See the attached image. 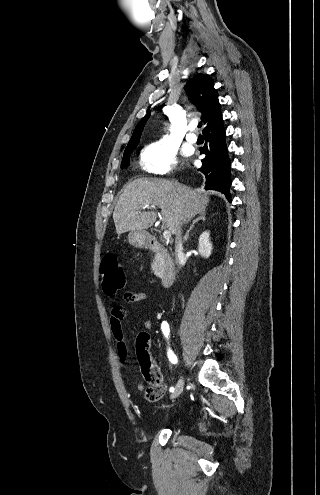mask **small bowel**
<instances>
[{
	"label": "small bowel",
	"mask_w": 320,
	"mask_h": 495,
	"mask_svg": "<svg viewBox=\"0 0 320 495\" xmlns=\"http://www.w3.org/2000/svg\"><path fill=\"white\" fill-rule=\"evenodd\" d=\"M123 299L128 303L144 302L148 299V295L143 292L128 291L124 294ZM126 315L127 310L123 305H116L111 310L110 327L113 335L119 341V350L122 355H125L126 353V346L123 342V321L126 318ZM144 326L146 328H150L152 326V322L149 318L144 321ZM141 370L147 381L151 375H160L159 369L153 364L151 367H145L141 364ZM133 386L137 391L144 390V385L140 382H135Z\"/></svg>",
	"instance_id": "small-bowel-1"
}]
</instances>
